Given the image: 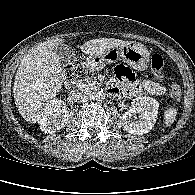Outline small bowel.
<instances>
[{
    "label": "small bowel",
    "mask_w": 195,
    "mask_h": 195,
    "mask_svg": "<svg viewBox=\"0 0 195 195\" xmlns=\"http://www.w3.org/2000/svg\"><path fill=\"white\" fill-rule=\"evenodd\" d=\"M117 86L112 87L113 94L121 90L126 96L133 97L144 93L161 95L165 92V87L151 80L138 79L127 67L120 65L115 69Z\"/></svg>",
    "instance_id": "obj_1"
}]
</instances>
